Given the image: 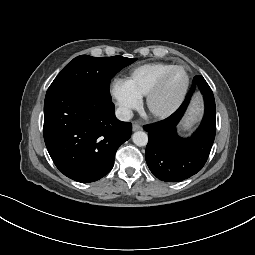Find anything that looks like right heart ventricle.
<instances>
[{
    "label": "right heart ventricle",
    "mask_w": 255,
    "mask_h": 255,
    "mask_svg": "<svg viewBox=\"0 0 255 255\" xmlns=\"http://www.w3.org/2000/svg\"><path fill=\"white\" fill-rule=\"evenodd\" d=\"M174 65L169 63H148L132 70L126 82L140 97L147 95L159 78Z\"/></svg>",
    "instance_id": "1"
}]
</instances>
